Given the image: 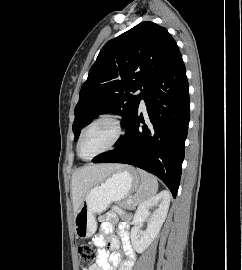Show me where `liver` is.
I'll return each mask as SVG.
<instances>
[{"mask_svg": "<svg viewBox=\"0 0 242 270\" xmlns=\"http://www.w3.org/2000/svg\"><path fill=\"white\" fill-rule=\"evenodd\" d=\"M121 164L89 165L72 174V199L76 213L81 207L86 193L95 185L104 181L113 172L123 168Z\"/></svg>", "mask_w": 242, "mask_h": 270, "instance_id": "6515ba94", "label": "liver"}]
</instances>
